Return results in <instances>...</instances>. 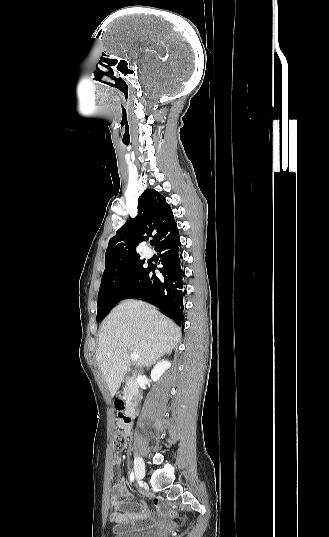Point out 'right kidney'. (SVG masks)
Segmentation results:
<instances>
[{
	"label": "right kidney",
	"instance_id": "1",
	"mask_svg": "<svg viewBox=\"0 0 329 537\" xmlns=\"http://www.w3.org/2000/svg\"><path fill=\"white\" fill-rule=\"evenodd\" d=\"M170 367V362L162 360L158 362L151 371V378L153 381L159 380L161 375Z\"/></svg>",
	"mask_w": 329,
	"mask_h": 537
}]
</instances>
